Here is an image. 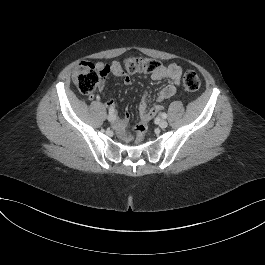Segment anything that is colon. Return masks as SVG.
<instances>
[{
	"label": "colon",
	"mask_w": 265,
	"mask_h": 265,
	"mask_svg": "<svg viewBox=\"0 0 265 265\" xmlns=\"http://www.w3.org/2000/svg\"><path fill=\"white\" fill-rule=\"evenodd\" d=\"M124 69L129 74L153 73L161 67L158 60L146 57H128L123 61ZM100 80V72L96 66L87 61L79 63L73 71V82L79 91L83 94H89L94 91ZM184 89L188 92H195L200 88V79L193 70H188L182 78ZM160 105L151 107L143 114L139 123L135 126V141L141 144L146 136L148 123L161 110Z\"/></svg>",
	"instance_id": "5ec220e1"
}]
</instances>
